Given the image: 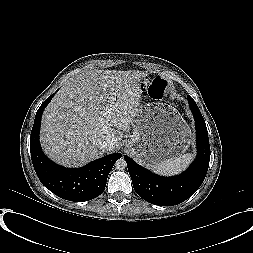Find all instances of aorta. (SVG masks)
Segmentation results:
<instances>
[{
  "label": "aorta",
  "instance_id": "obj_1",
  "mask_svg": "<svg viewBox=\"0 0 253 253\" xmlns=\"http://www.w3.org/2000/svg\"><path fill=\"white\" fill-rule=\"evenodd\" d=\"M115 167H116V169H118V170H123V169H125V168L127 167V162H126V160H125L124 158L118 159V160L116 161V163H115Z\"/></svg>",
  "mask_w": 253,
  "mask_h": 253
}]
</instances>
